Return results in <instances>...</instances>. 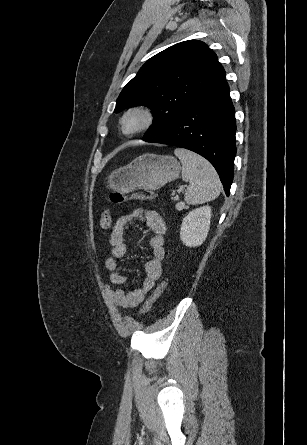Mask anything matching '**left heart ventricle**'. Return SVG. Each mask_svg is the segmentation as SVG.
<instances>
[{
  "label": "left heart ventricle",
  "instance_id": "left-heart-ventricle-1",
  "mask_svg": "<svg viewBox=\"0 0 307 445\" xmlns=\"http://www.w3.org/2000/svg\"><path fill=\"white\" fill-rule=\"evenodd\" d=\"M146 122V115L141 111H133L127 115L123 123V130L132 133L141 128Z\"/></svg>",
  "mask_w": 307,
  "mask_h": 445
}]
</instances>
